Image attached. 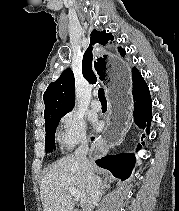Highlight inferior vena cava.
I'll list each match as a JSON object with an SVG mask.
<instances>
[{
    "label": "inferior vena cava",
    "mask_w": 179,
    "mask_h": 211,
    "mask_svg": "<svg viewBox=\"0 0 179 211\" xmlns=\"http://www.w3.org/2000/svg\"><path fill=\"white\" fill-rule=\"evenodd\" d=\"M89 150L88 141H83L80 146L75 150V157L85 173L88 181L91 183L90 193L87 199L85 210L92 211L94 205L99 201L101 194V180L96 179L93 173L91 162L87 159V153Z\"/></svg>",
    "instance_id": "602c4592"
}]
</instances>
